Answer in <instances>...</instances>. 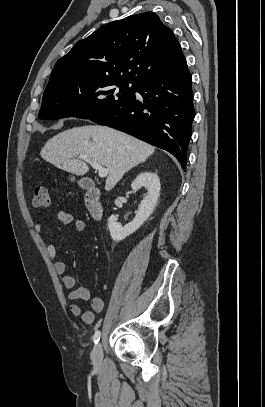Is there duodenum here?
I'll use <instances>...</instances> for the list:
<instances>
[{"label":"duodenum","instance_id":"410a0bca","mask_svg":"<svg viewBox=\"0 0 265 407\" xmlns=\"http://www.w3.org/2000/svg\"><path fill=\"white\" fill-rule=\"evenodd\" d=\"M83 188L86 190L85 204L90 215L98 220L102 218L103 207L100 202V192L91 179L83 181Z\"/></svg>","mask_w":265,"mask_h":407}]
</instances>
